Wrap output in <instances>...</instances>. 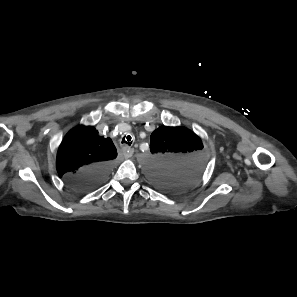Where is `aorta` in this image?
Wrapping results in <instances>:
<instances>
[{
  "label": "aorta",
  "instance_id": "1",
  "mask_svg": "<svg viewBox=\"0 0 297 297\" xmlns=\"http://www.w3.org/2000/svg\"><path fill=\"white\" fill-rule=\"evenodd\" d=\"M152 166H153V159L152 157L149 159V165H148V174L151 177V172H152Z\"/></svg>",
  "mask_w": 297,
  "mask_h": 297
}]
</instances>
